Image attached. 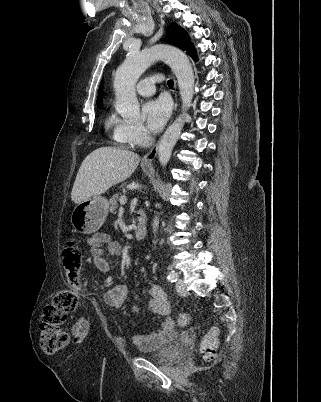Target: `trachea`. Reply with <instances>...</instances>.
Listing matches in <instances>:
<instances>
[{
	"label": "trachea",
	"instance_id": "1",
	"mask_svg": "<svg viewBox=\"0 0 321 402\" xmlns=\"http://www.w3.org/2000/svg\"><path fill=\"white\" fill-rule=\"evenodd\" d=\"M167 84H168V87L173 88L174 82H173V80L170 79L167 81Z\"/></svg>",
	"mask_w": 321,
	"mask_h": 402
}]
</instances>
